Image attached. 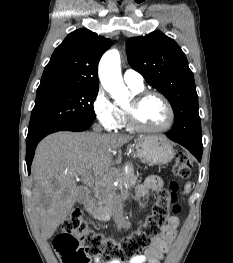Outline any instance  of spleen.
<instances>
[{"instance_id":"spleen-1","label":"spleen","mask_w":233,"mask_h":263,"mask_svg":"<svg viewBox=\"0 0 233 263\" xmlns=\"http://www.w3.org/2000/svg\"><path fill=\"white\" fill-rule=\"evenodd\" d=\"M190 190H191V184L188 183V184H186V186H185V192L188 194V193L190 192Z\"/></svg>"}]
</instances>
